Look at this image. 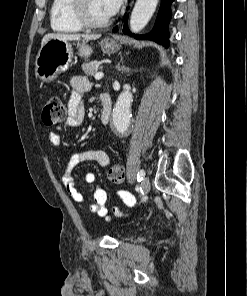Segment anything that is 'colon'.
Returning a JSON list of instances; mask_svg holds the SVG:
<instances>
[{
  "label": "colon",
  "mask_w": 247,
  "mask_h": 296,
  "mask_svg": "<svg viewBox=\"0 0 247 296\" xmlns=\"http://www.w3.org/2000/svg\"><path fill=\"white\" fill-rule=\"evenodd\" d=\"M66 117V107L57 97L47 100L42 110V121L48 126L60 123ZM109 179L118 185H124L126 174L124 167L116 163L111 166L108 172Z\"/></svg>",
  "instance_id": "obj_1"
}]
</instances>
